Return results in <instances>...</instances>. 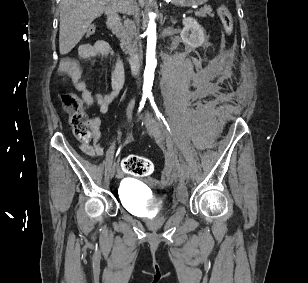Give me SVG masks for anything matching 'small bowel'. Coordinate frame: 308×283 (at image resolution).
I'll use <instances>...</instances> for the list:
<instances>
[{
  "label": "small bowel",
  "mask_w": 308,
  "mask_h": 283,
  "mask_svg": "<svg viewBox=\"0 0 308 283\" xmlns=\"http://www.w3.org/2000/svg\"><path fill=\"white\" fill-rule=\"evenodd\" d=\"M79 55L81 58L89 59L97 56H110L112 50L108 42L105 40H97L93 44H83L79 47ZM60 71L66 76L72 87L81 94V97L86 107L97 105L101 113H107L114 101L120 95L124 86L125 74L123 65L116 62L111 74V91L108 94H93L87 84L81 78V69L77 60L73 58H64L60 64ZM134 102L131 101L127 107V116L131 119L132 108ZM101 134L97 125L93 127V144L88 141H83L79 149L82 153L89 157L102 156L104 149L100 144ZM130 137L128 136L127 140Z\"/></svg>",
  "instance_id": "obj_1"
}]
</instances>
